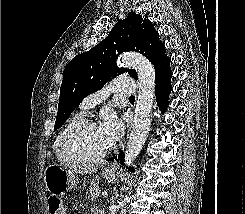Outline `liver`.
Instances as JSON below:
<instances>
[{
    "label": "liver",
    "instance_id": "6515ba94",
    "mask_svg": "<svg viewBox=\"0 0 245 214\" xmlns=\"http://www.w3.org/2000/svg\"><path fill=\"white\" fill-rule=\"evenodd\" d=\"M81 172H83V173H94V172H96V170L93 169V168H90V169H82Z\"/></svg>",
    "mask_w": 245,
    "mask_h": 214
}]
</instances>
